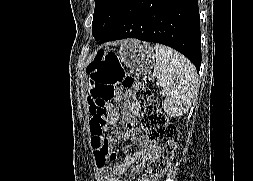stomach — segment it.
<instances>
[{
	"instance_id": "obj_1",
	"label": "stomach",
	"mask_w": 253,
	"mask_h": 181,
	"mask_svg": "<svg viewBox=\"0 0 253 181\" xmlns=\"http://www.w3.org/2000/svg\"><path fill=\"white\" fill-rule=\"evenodd\" d=\"M117 57L121 64L137 72L150 71L154 66L153 48L150 44L137 40L124 41Z\"/></svg>"
}]
</instances>
